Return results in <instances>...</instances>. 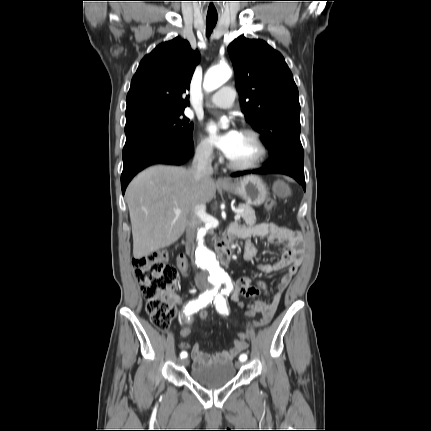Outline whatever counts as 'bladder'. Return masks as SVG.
I'll return each instance as SVG.
<instances>
[{"mask_svg":"<svg viewBox=\"0 0 431 431\" xmlns=\"http://www.w3.org/2000/svg\"><path fill=\"white\" fill-rule=\"evenodd\" d=\"M236 367L233 362H219L205 366H195L190 371L191 379L210 389L223 387L234 380Z\"/></svg>","mask_w":431,"mask_h":431,"instance_id":"obj_1","label":"bladder"}]
</instances>
